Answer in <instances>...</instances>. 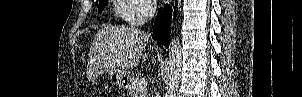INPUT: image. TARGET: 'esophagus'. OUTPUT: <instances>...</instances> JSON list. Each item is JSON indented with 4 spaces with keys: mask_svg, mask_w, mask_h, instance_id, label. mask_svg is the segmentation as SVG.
Returning <instances> with one entry per match:
<instances>
[{
    "mask_svg": "<svg viewBox=\"0 0 302 97\" xmlns=\"http://www.w3.org/2000/svg\"><path fill=\"white\" fill-rule=\"evenodd\" d=\"M165 2H171V0H167V1H165Z\"/></svg>",
    "mask_w": 302,
    "mask_h": 97,
    "instance_id": "obj_1",
    "label": "esophagus"
}]
</instances>
